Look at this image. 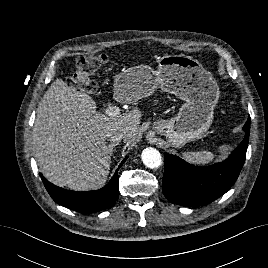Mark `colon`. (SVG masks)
<instances>
[{"label": "colon", "mask_w": 268, "mask_h": 268, "mask_svg": "<svg viewBox=\"0 0 268 268\" xmlns=\"http://www.w3.org/2000/svg\"><path fill=\"white\" fill-rule=\"evenodd\" d=\"M107 62L105 55H90L80 58L76 63L74 74L68 79V85L79 88L85 92L93 93L97 83L92 76Z\"/></svg>", "instance_id": "5ec220e1"}]
</instances>
